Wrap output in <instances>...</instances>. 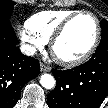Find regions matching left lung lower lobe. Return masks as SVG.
Returning a JSON list of instances; mask_svg holds the SVG:
<instances>
[{"label":"left lung lower lobe","instance_id":"left-lung-lower-lobe-1","mask_svg":"<svg viewBox=\"0 0 108 108\" xmlns=\"http://www.w3.org/2000/svg\"><path fill=\"white\" fill-rule=\"evenodd\" d=\"M56 87L47 97L49 108H98L108 96V52H95L70 70H52Z\"/></svg>","mask_w":108,"mask_h":108}]
</instances>
